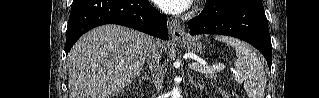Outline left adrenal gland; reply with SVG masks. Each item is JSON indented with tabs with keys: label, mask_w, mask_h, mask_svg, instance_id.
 Listing matches in <instances>:
<instances>
[{
	"label": "left adrenal gland",
	"mask_w": 319,
	"mask_h": 98,
	"mask_svg": "<svg viewBox=\"0 0 319 98\" xmlns=\"http://www.w3.org/2000/svg\"><path fill=\"white\" fill-rule=\"evenodd\" d=\"M188 78H189V81L195 85V86H200V83L199 82H196L195 80H193V77L189 74L188 75Z\"/></svg>",
	"instance_id": "1"
}]
</instances>
